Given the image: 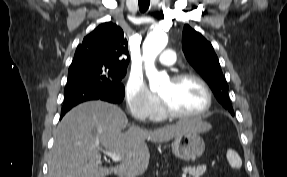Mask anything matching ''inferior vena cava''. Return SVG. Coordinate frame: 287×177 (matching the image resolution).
<instances>
[{
	"instance_id": "1",
	"label": "inferior vena cava",
	"mask_w": 287,
	"mask_h": 177,
	"mask_svg": "<svg viewBox=\"0 0 287 177\" xmlns=\"http://www.w3.org/2000/svg\"><path fill=\"white\" fill-rule=\"evenodd\" d=\"M125 177H136V174L132 171H128L125 175Z\"/></svg>"
}]
</instances>
